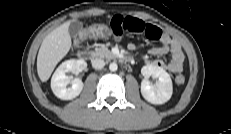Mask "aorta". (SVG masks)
I'll return each mask as SVG.
<instances>
[{"label": "aorta", "mask_w": 231, "mask_h": 134, "mask_svg": "<svg viewBox=\"0 0 231 134\" xmlns=\"http://www.w3.org/2000/svg\"><path fill=\"white\" fill-rule=\"evenodd\" d=\"M109 69L110 71L115 72L118 69V65L115 62H113L109 65Z\"/></svg>", "instance_id": "1"}]
</instances>
